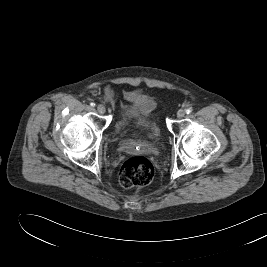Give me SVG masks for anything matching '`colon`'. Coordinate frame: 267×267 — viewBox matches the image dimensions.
<instances>
[{
    "label": "colon",
    "instance_id": "colon-1",
    "mask_svg": "<svg viewBox=\"0 0 267 267\" xmlns=\"http://www.w3.org/2000/svg\"><path fill=\"white\" fill-rule=\"evenodd\" d=\"M155 170L150 160L137 156L126 160L119 171V184L124 189L141 187L151 183Z\"/></svg>",
    "mask_w": 267,
    "mask_h": 267
}]
</instances>
